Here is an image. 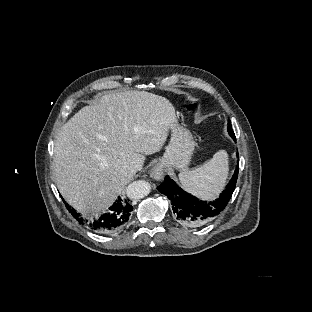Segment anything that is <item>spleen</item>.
<instances>
[{"label":"spleen","mask_w":312,"mask_h":312,"mask_svg":"<svg viewBox=\"0 0 312 312\" xmlns=\"http://www.w3.org/2000/svg\"><path fill=\"white\" fill-rule=\"evenodd\" d=\"M228 156L225 151L214 154L202 166L183 170L179 174L184 189L203 198L212 200L225 184L228 172Z\"/></svg>","instance_id":"1"}]
</instances>
